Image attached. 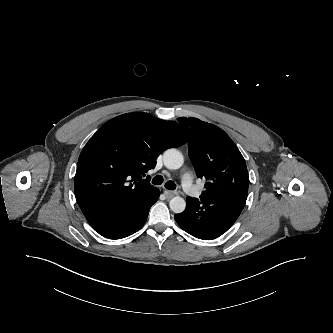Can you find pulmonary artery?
<instances>
[{
    "mask_svg": "<svg viewBox=\"0 0 333 333\" xmlns=\"http://www.w3.org/2000/svg\"><path fill=\"white\" fill-rule=\"evenodd\" d=\"M181 181H182V187L186 193L190 195H194L197 193L198 189L193 182V177L191 173L189 172L184 173L181 177Z\"/></svg>",
    "mask_w": 333,
    "mask_h": 333,
    "instance_id": "pulmonary-artery-1",
    "label": "pulmonary artery"
}]
</instances>
